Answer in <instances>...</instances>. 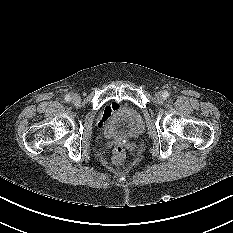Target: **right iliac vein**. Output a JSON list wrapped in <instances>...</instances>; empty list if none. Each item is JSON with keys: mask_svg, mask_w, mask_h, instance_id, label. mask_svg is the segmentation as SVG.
Here are the masks:
<instances>
[{"mask_svg": "<svg viewBox=\"0 0 233 233\" xmlns=\"http://www.w3.org/2000/svg\"><path fill=\"white\" fill-rule=\"evenodd\" d=\"M71 99L74 103H77L80 101V96L78 94H73Z\"/></svg>", "mask_w": 233, "mask_h": 233, "instance_id": "63e3f726", "label": "right iliac vein"}]
</instances>
